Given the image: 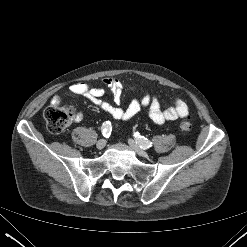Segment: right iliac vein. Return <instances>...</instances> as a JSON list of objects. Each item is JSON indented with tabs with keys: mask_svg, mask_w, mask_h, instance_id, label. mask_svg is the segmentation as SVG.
<instances>
[{
	"mask_svg": "<svg viewBox=\"0 0 247 247\" xmlns=\"http://www.w3.org/2000/svg\"><path fill=\"white\" fill-rule=\"evenodd\" d=\"M106 143H107L106 139H100L96 144L97 149L99 150L103 149L106 146Z\"/></svg>",
	"mask_w": 247,
	"mask_h": 247,
	"instance_id": "right-iliac-vein-1",
	"label": "right iliac vein"
}]
</instances>
